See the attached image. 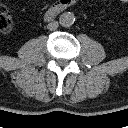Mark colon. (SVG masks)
<instances>
[{
	"label": "colon",
	"mask_w": 128,
	"mask_h": 128,
	"mask_svg": "<svg viewBox=\"0 0 128 128\" xmlns=\"http://www.w3.org/2000/svg\"><path fill=\"white\" fill-rule=\"evenodd\" d=\"M12 16L6 6L0 4V32L7 33L12 28Z\"/></svg>",
	"instance_id": "1"
}]
</instances>
